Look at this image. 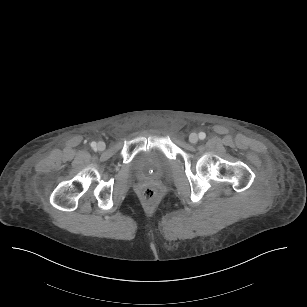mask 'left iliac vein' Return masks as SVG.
<instances>
[{
  "mask_svg": "<svg viewBox=\"0 0 307 307\" xmlns=\"http://www.w3.org/2000/svg\"><path fill=\"white\" fill-rule=\"evenodd\" d=\"M189 141L193 144H196L198 142V135L196 133H192L189 136Z\"/></svg>",
  "mask_w": 307,
  "mask_h": 307,
  "instance_id": "obj_1",
  "label": "left iliac vein"
}]
</instances>
